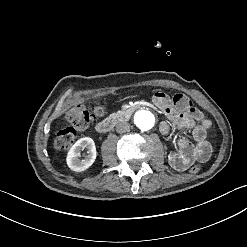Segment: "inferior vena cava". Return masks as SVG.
Returning <instances> with one entry per match:
<instances>
[{
	"label": "inferior vena cava",
	"mask_w": 247,
	"mask_h": 247,
	"mask_svg": "<svg viewBox=\"0 0 247 247\" xmlns=\"http://www.w3.org/2000/svg\"><path fill=\"white\" fill-rule=\"evenodd\" d=\"M130 129V125L127 122L121 121L119 123L116 124V131L118 133H123L126 132Z\"/></svg>",
	"instance_id": "602c4592"
}]
</instances>
